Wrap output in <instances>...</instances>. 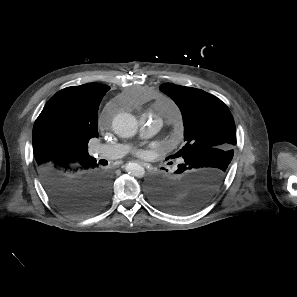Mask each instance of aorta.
<instances>
[{"instance_id":"1","label":"aorta","mask_w":297,"mask_h":297,"mask_svg":"<svg viewBox=\"0 0 297 297\" xmlns=\"http://www.w3.org/2000/svg\"><path fill=\"white\" fill-rule=\"evenodd\" d=\"M112 128L118 136L122 138H129L136 134L138 123L132 114L119 113L113 119ZM126 171L137 178H142L145 175L144 168L136 162L128 163L126 165Z\"/></svg>"}]
</instances>
